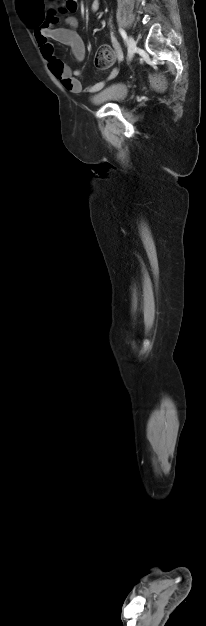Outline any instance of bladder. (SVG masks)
<instances>
[{
  "instance_id": "bladder-1",
  "label": "bladder",
  "mask_w": 206,
  "mask_h": 626,
  "mask_svg": "<svg viewBox=\"0 0 206 626\" xmlns=\"http://www.w3.org/2000/svg\"><path fill=\"white\" fill-rule=\"evenodd\" d=\"M128 95V88L122 83H114L98 92L92 97V102L96 105L111 103L120 104Z\"/></svg>"
}]
</instances>
